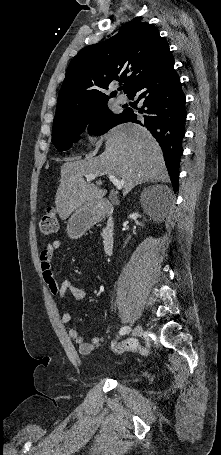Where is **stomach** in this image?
I'll list each match as a JSON object with an SVG mask.
<instances>
[{
  "instance_id": "0dacf381",
  "label": "stomach",
  "mask_w": 221,
  "mask_h": 455,
  "mask_svg": "<svg viewBox=\"0 0 221 455\" xmlns=\"http://www.w3.org/2000/svg\"><path fill=\"white\" fill-rule=\"evenodd\" d=\"M102 216L101 201L93 200L74 211L67 221V234L72 239L80 238Z\"/></svg>"
}]
</instances>
